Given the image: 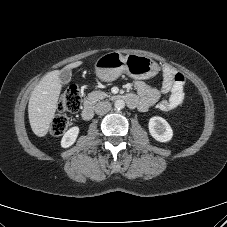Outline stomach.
Returning <instances> with one entry per match:
<instances>
[{"mask_svg": "<svg viewBox=\"0 0 227 227\" xmlns=\"http://www.w3.org/2000/svg\"><path fill=\"white\" fill-rule=\"evenodd\" d=\"M158 70V64L147 56L139 54L123 56L116 51L102 55L95 63L96 75L107 82L117 79L122 73L134 79H149L154 77Z\"/></svg>", "mask_w": 227, "mask_h": 227, "instance_id": "0dacf381", "label": "stomach"}]
</instances>
